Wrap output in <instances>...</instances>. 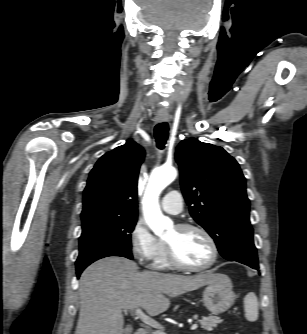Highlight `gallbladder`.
I'll list each match as a JSON object with an SVG mask.
<instances>
[{"mask_svg": "<svg viewBox=\"0 0 307 334\" xmlns=\"http://www.w3.org/2000/svg\"><path fill=\"white\" fill-rule=\"evenodd\" d=\"M132 331V327L131 326H127L125 329V334H130Z\"/></svg>", "mask_w": 307, "mask_h": 334, "instance_id": "bac80fb5", "label": "gallbladder"}]
</instances>
